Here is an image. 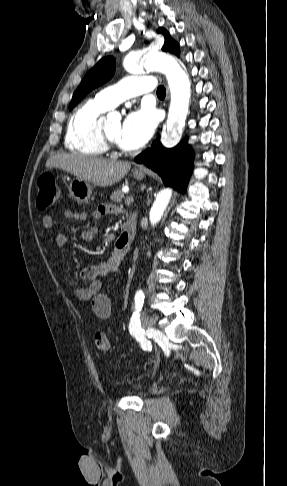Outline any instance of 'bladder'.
Wrapping results in <instances>:
<instances>
[{
	"label": "bladder",
	"instance_id": "obj_1",
	"mask_svg": "<svg viewBox=\"0 0 287 486\" xmlns=\"http://www.w3.org/2000/svg\"><path fill=\"white\" fill-rule=\"evenodd\" d=\"M144 388V385L143 384H137L135 386H133V389L136 390V391H140Z\"/></svg>",
	"mask_w": 287,
	"mask_h": 486
}]
</instances>
